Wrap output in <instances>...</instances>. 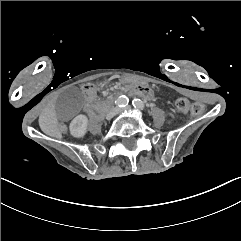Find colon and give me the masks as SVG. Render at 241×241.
<instances>
[{"label": "colon", "mask_w": 241, "mask_h": 241, "mask_svg": "<svg viewBox=\"0 0 241 241\" xmlns=\"http://www.w3.org/2000/svg\"><path fill=\"white\" fill-rule=\"evenodd\" d=\"M177 109L184 113H189L192 111V113L195 116H200L204 112V105L202 103H195L192 105L189 100L187 99H179L176 102Z\"/></svg>", "instance_id": "5ec220e1"}]
</instances>
